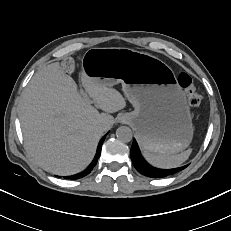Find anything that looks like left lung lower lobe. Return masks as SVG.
<instances>
[{"label":"left lung lower lobe","instance_id":"0a47b994","mask_svg":"<svg viewBox=\"0 0 231 231\" xmlns=\"http://www.w3.org/2000/svg\"><path fill=\"white\" fill-rule=\"evenodd\" d=\"M130 155H131L133 165L137 169V171L145 176L153 177V178H163V177H167L170 175H174L188 166V165H185L182 167L168 169V170L157 169V168L150 166L141 156L135 139L132 144Z\"/></svg>","mask_w":231,"mask_h":231}]
</instances>
